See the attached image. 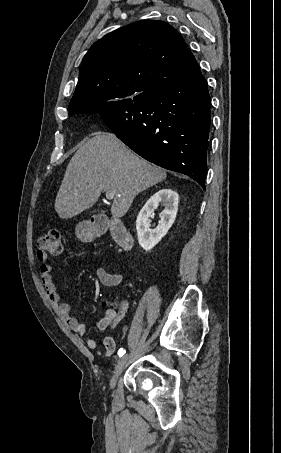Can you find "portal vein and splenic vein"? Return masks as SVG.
I'll return each instance as SVG.
<instances>
[{
    "instance_id": "18ae733b",
    "label": "portal vein and splenic vein",
    "mask_w": 281,
    "mask_h": 453,
    "mask_svg": "<svg viewBox=\"0 0 281 453\" xmlns=\"http://www.w3.org/2000/svg\"><path fill=\"white\" fill-rule=\"evenodd\" d=\"M114 196H115L114 192H110V190H107L106 198H108V200H112V198H114Z\"/></svg>"
}]
</instances>
